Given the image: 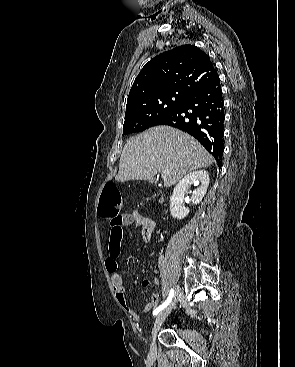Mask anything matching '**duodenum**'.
<instances>
[{
	"instance_id": "410a0bca",
	"label": "duodenum",
	"mask_w": 295,
	"mask_h": 367,
	"mask_svg": "<svg viewBox=\"0 0 295 367\" xmlns=\"http://www.w3.org/2000/svg\"><path fill=\"white\" fill-rule=\"evenodd\" d=\"M162 201H163V199H162V198H160V199H159V202H160V203H162Z\"/></svg>"
}]
</instances>
